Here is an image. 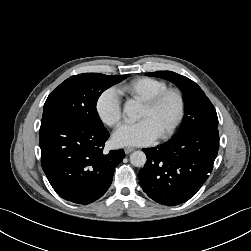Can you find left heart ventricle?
Segmentation results:
<instances>
[{
    "label": "left heart ventricle",
    "instance_id": "b2bd125f",
    "mask_svg": "<svg viewBox=\"0 0 251 251\" xmlns=\"http://www.w3.org/2000/svg\"><path fill=\"white\" fill-rule=\"evenodd\" d=\"M176 112L177 101L174 97L169 96L155 109H149L143 105L138 119H149L152 122L157 134L160 135L173 121Z\"/></svg>",
    "mask_w": 251,
    "mask_h": 251
}]
</instances>
